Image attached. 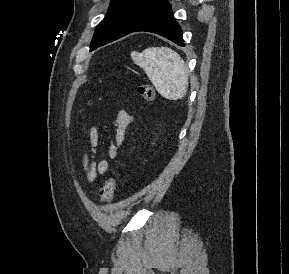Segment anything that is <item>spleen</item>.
Listing matches in <instances>:
<instances>
[{
    "mask_svg": "<svg viewBox=\"0 0 289 274\" xmlns=\"http://www.w3.org/2000/svg\"><path fill=\"white\" fill-rule=\"evenodd\" d=\"M133 61L140 66L166 99H182L188 89V69L178 53L168 47H152L142 53H131Z\"/></svg>",
    "mask_w": 289,
    "mask_h": 274,
    "instance_id": "1",
    "label": "spleen"
}]
</instances>
